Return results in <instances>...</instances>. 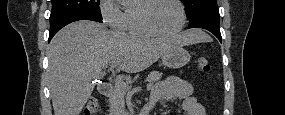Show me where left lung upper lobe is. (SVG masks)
Segmentation results:
<instances>
[{
    "mask_svg": "<svg viewBox=\"0 0 285 115\" xmlns=\"http://www.w3.org/2000/svg\"><path fill=\"white\" fill-rule=\"evenodd\" d=\"M185 5L186 15L190 19L195 13L208 8L217 6V0H181Z\"/></svg>",
    "mask_w": 285,
    "mask_h": 115,
    "instance_id": "left-lung-upper-lobe-1",
    "label": "left lung upper lobe"
}]
</instances>
